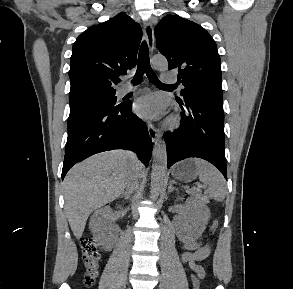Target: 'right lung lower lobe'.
<instances>
[{
  "label": "right lung lower lobe",
  "instance_id": "obj_1",
  "mask_svg": "<svg viewBox=\"0 0 293 289\" xmlns=\"http://www.w3.org/2000/svg\"><path fill=\"white\" fill-rule=\"evenodd\" d=\"M132 102L97 111L68 122V138L62 179L77 162L99 152L128 149L147 165L152 154V140L144 122L131 111Z\"/></svg>",
  "mask_w": 293,
  "mask_h": 289
}]
</instances>
